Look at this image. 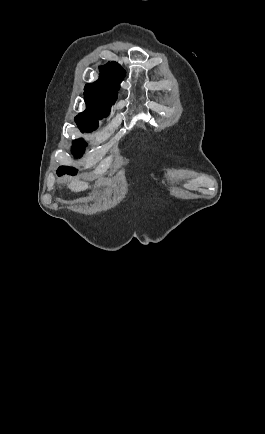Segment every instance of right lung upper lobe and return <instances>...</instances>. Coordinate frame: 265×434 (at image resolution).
Here are the masks:
<instances>
[{
    "instance_id": "1",
    "label": "right lung upper lobe",
    "mask_w": 265,
    "mask_h": 434,
    "mask_svg": "<svg viewBox=\"0 0 265 434\" xmlns=\"http://www.w3.org/2000/svg\"><path fill=\"white\" fill-rule=\"evenodd\" d=\"M101 77L94 83L85 86V93L102 97L106 100L115 102L117 99V89L124 78V70L116 62H109L100 68Z\"/></svg>"
}]
</instances>
